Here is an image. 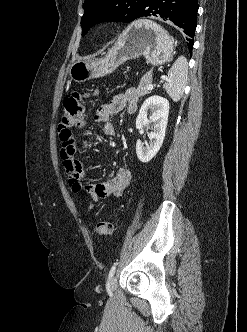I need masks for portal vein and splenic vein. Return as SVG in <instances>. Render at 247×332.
Returning a JSON list of instances; mask_svg holds the SVG:
<instances>
[{
	"label": "portal vein and splenic vein",
	"mask_w": 247,
	"mask_h": 332,
	"mask_svg": "<svg viewBox=\"0 0 247 332\" xmlns=\"http://www.w3.org/2000/svg\"><path fill=\"white\" fill-rule=\"evenodd\" d=\"M147 89H148V90H152V89H153V84L150 83V84L147 86Z\"/></svg>",
	"instance_id": "1"
}]
</instances>
